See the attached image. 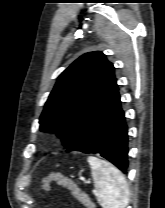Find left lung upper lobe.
I'll return each mask as SVG.
<instances>
[{
    "instance_id": "obj_1",
    "label": "left lung upper lobe",
    "mask_w": 165,
    "mask_h": 208,
    "mask_svg": "<svg viewBox=\"0 0 165 208\" xmlns=\"http://www.w3.org/2000/svg\"><path fill=\"white\" fill-rule=\"evenodd\" d=\"M116 86L114 66L102 52L82 55L59 76L39 120L41 131L57 132L68 149Z\"/></svg>"
}]
</instances>
